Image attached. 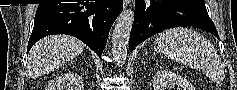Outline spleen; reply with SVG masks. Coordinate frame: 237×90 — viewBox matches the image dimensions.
Wrapping results in <instances>:
<instances>
[{
  "label": "spleen",
  "instance_id": "obj_1",
  "mask_svg": "<svg viewBox=\"0 0 237 90\" xmlns=\"http://www.w3.org/2000/svg\"><path fill=\"white\" fill-rule=\"evenodd\" d=\"M154 50L173 62H180L204 74L217 70L219 58L214 46L190 28L164 30L158 34Z\"/></svg>",
  "mask_w": 237,
  "mask_h": 90
}]
</instances>
